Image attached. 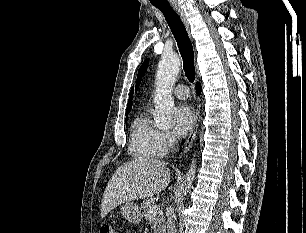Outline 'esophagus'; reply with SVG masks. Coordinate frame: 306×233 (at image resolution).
I'll return each instance as SVG.
<instances>
[{"instance_id":"34e87169","label":"esophagus","mask_w":306,"mask_h":233,"mask_svg":"<svg viewBox=\"0 0 306 233\" xmlns=\"http://www.w3.org/2000/svg\"><path fill=\"white\" fill-rule=\"evenodd\" d=\"M172 7L174 8V10L179 14L181 20L183 21L188 33H189V23H188V20L184 14V11L183 9L176 3H172ZM200 98L198 97V105H197V109H196V113H195V121H194V125L190 131V134L183 146V154L187 153L192 144H193V141L196 137V133H197V130H198V127H199V123H200Z\"/></svg>"}]
</instances>
